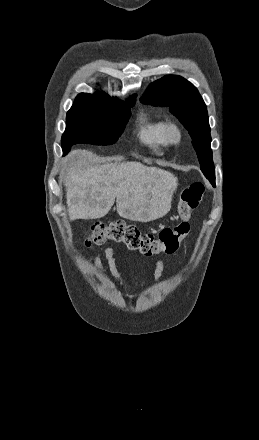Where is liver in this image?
Masks as SVG:
<instances>
[{"label":"liver","mask_w":259,"mask_h":440,"mask_svg":"<svg viewBox=\"0 0 259 440\" xmlns=\"http://www.w3.org/2000/svg\"><path fill=\"white\" fill-rule=\"evenodd\" d=\"M64 185L71 221L104 217L116 199L119 216L150 222L170 211L177 178L140 162L101 164L92 153L73 150Z\"/></svg>","instance_id":"obj_1"}]
</instances>
